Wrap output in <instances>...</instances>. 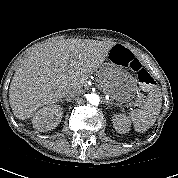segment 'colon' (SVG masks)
Instances as JSON below:
<instances>
[{
    "label": "colon",
    "instance_id": "1",
    "mask_svg": "<svg viewBox=\"0 0 178 178\" xmlns=\"http://www.w3.org/2000/svg\"><path fill=\"white\" fill-rule=\"evenodd\" d=\"M131 68L136 72L138 81L140 82L141 86L148 90L153 86L154 80L152 76L144 69L142 68L139 61L133 59L130 63Z\"/></svg>",
    "mask_w": 178,
    "mask_h": 178
}]
</instances>
